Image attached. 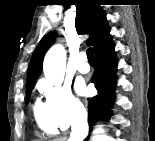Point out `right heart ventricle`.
Wrapping results in <instances>:
<instances>
[{"instance_id":"1","label":"right heart ventricle","mask_w":155,"mask_h":141,"mask_svg":"<svg viewBox=\"0 0 155 141\" xmlns=\"http://www.w3.org/2000/svg\"><path fill=\"white\" fill-rule=\"evenodd\" d=\"M34 116L38 127L45 133L54 135L58 127L53 121L45 104L37 101L34 105Z\"/></svg>"}]
</instances>
